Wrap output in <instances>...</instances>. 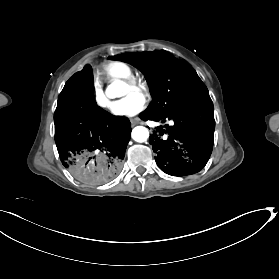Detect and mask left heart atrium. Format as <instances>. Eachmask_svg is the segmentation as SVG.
I'll return each instance as SVG.
<instances>
[{"instance_id":"obj_1","label":"left heart atrium","mask_w":279,"mask_h":279,"mask_svg":"<svg viewBox=\"0 0 279 279\" xmlns=\"http://www.w3.org/2000/svg\"><path fill=\"white\" fill-rule=\"evenodd\" d=\"M145 108V99L141 95H129L112 106V113L116 116L131 117Z\"/></svg>"}]
</instances>
